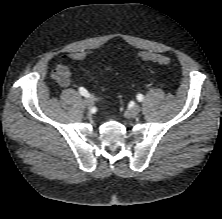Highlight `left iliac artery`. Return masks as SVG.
Masks as SVG:
<instances>
[{
  "instance_id": "left-iliac-artery-1",
  "label": "left iliac artery",
  "mask_w": 222,
  "mask_h": 219,
  "mask_svg": "<svg viewBox=\"0 0 222 219\" xmlns=\"http://www.w3.org/2000/svg\"><path fill=\"white\" fill-rule=\"evenodd\" d=\"M143 99H144V96H143L142 94H138V95H137V100H138V101L141 102V101H143Z\"/></svg>"
}]
</instances>
